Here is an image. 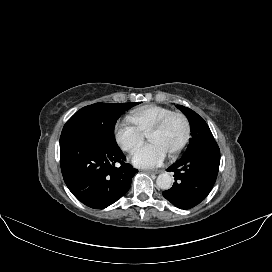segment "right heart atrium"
Here are the masks:
<instances>
[{"instance_id":"obj_1","label":"right heart atrium","mask_w":272,"mask_h":272,"mask_svg":"<svg viewBox=\"0 0 272 272\" xmlns=\"http://www.w3.org/2000/svg\"><path fill=\"white\" fill-rule=\"evenodd\" d=\"M114 134L118 145L129 153L135 151L144 139V134L129 119L118 120L114 127Z\"/></svg>"}]
</instances>
